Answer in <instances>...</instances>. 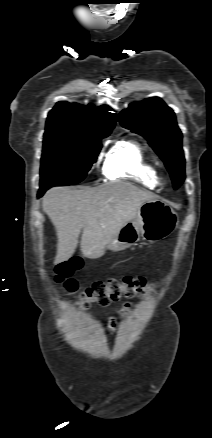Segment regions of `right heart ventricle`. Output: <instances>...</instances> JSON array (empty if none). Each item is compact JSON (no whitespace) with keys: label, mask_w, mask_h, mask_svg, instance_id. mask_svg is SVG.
I'll return each instance as SVG.
<instances>
[{"label":"right heart ventricle","mask_w":212,"mask_h":438,"mask_svg":"<svg viewBox=\"0 0 212 438\" xmlns=\"http://www.w3.org/2000/svg\"><path fill=\"white\" fill-rule=\"evenodd\" d=\"M103 172L111 180L131 179L146 188L154 189L156 168L142 145L133 140H120L107 151Z\"/></svg>","instance_id":"1"}]
</instances>
